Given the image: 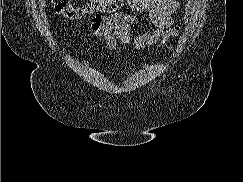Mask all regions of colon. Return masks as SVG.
I'll return each instance as SVG.
<instances>
[{"label":"colon","mask_w":243,"mask_h":182,"mask_svg":"<svg viewBox=\"0 0 243 182\" xmlns=\"http://www.w3.org/2000/svg\"><path fill=\"white\" fill-rule=\"evenodd\" d=\"M53 3L59 15L79 20L93 14L116 13L123 8L125 0H90L83 6H75L72 0H53Z\"/></svg>","instance_id":"colon-1"}]
</instances>
